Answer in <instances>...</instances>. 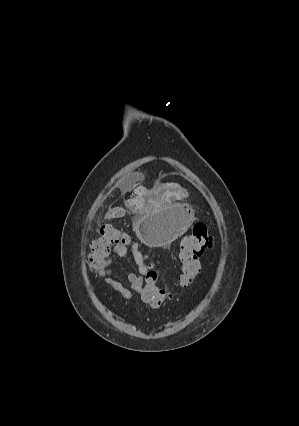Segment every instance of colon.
Returning a JSON list of instances; mask_svg holds the SVG:
<instances>
[{"instance_id": "5ec220e1", "label": "colon", "mask_w": 299, "mask_h": 426, "mask_svg": "<svg viewBox=\"0 0 299 426\" xmlns=\"http://www.w3.org/2000/svg\"><path fill=\"white\" fill-rule=\"evenodd\" d=\"M214 237L210 228L204 223H196L192 231L184 235L179 243L178 258L181 263L180 287L191 286L200 271L199 258L207 249L214 246ZM118 245H133L130 238L112 224L105 223L100 227L99 237L92 241L88 255V264L93 271H99L109 257L111 250ZM146 280L143 285L142 299L151 308H158L170 301L175 292L164 288L157 272L148 266Z\"/></svg>"}]
</instances>
